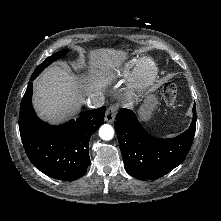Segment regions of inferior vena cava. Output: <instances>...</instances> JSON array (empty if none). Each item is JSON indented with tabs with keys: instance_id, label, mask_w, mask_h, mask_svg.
<instances>
[{
	"instance_id": "602c4592",
	"label": "inferior vena cava",
	"mask_w": 221,
	"mask_h": 221,
	"mask_svg": "<svg viewBox=\"0 0 221 221\" xmlns=\"http://www.w3.org/2000/svg\"><path fill=\"white\" fill-rule=\"evenodd\" d=\"M103 104H104L103 97H95L93 95L87 101V106L90 108H98L101 107Z\"/></svg>"
}]
</instances>
